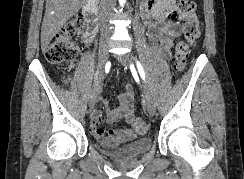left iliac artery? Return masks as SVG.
I'll return each mask as SVG.
<instances>
[{
  "instance_id": "1",
  "label": "left iliac artery",
  "mask_w": 244,
  "mask_h": 179,
  "mask_svg": "<svg viewBox=\"0 0 244 179\" xmlns=\"http://www.w3.org/2000/svg\"><path fill=\"white\" fill-rule=\"evenodd\" d=\"M132 67V66H131ZM137 67H138V70H139V73L142 77V79L145 80V73H144V70H143V67L142 65L140 64V62L137 61Z\"/></svg>"
}]
</instances>
